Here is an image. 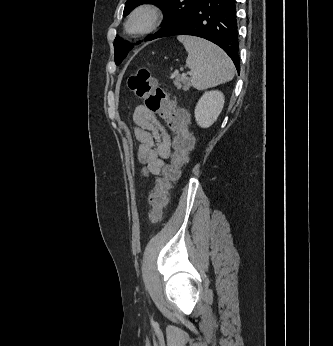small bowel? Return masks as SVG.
<instances>
[{"instance_id": "obj_1", "label": "small bowel", "mask_w": 333, "mask_h": 346, "mask_svg": "<svg viewBox=\"0 0 333 346\" xmlns=\"http://www.w3.org/2000/svg\"><path fill=\"white\" fill-rule=\"evenodd\" d=\"M133 134L140 143L138 155L145 165L146 175H159L164 159L172 153V139L167 125L144 106L138 105L133 110Z\"/></svg>"}]
</instances>
